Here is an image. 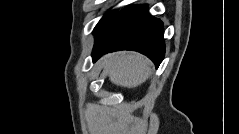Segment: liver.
Listing matches in <instances>:
<instances>
[{
  "label": "liver",
  "instance_id": "6515ba94",
  "mask_svg": "<svg viewBox=\"0 0 239 134\" xmlns=\"http://www.w3.org/2000/svg\"><path fill=\"white\" fill-rule=\"evenodd\" d=\"M101 65L113 84L126 88L141 85L151 74L149 60L135 52L108 54L101 59Z\"/></svg>",
  "mask_w": 239,
  "mask_h": 134
}]
</instances>
